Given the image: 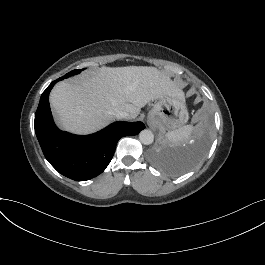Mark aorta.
I'll list each match as a JSON object with an SVG mask.
<instances>
[{
    "label": "aorta",
    "instance_id": "aorta-1",
    "mask_svg": "<svg viewBox=\"0 0 265 265\" xmlns=\"http://www.w3.org/2000/svg\"><path fill=\"white\" fill-rule=\"evenodd\" d=\"M139 139L142 144L149 145V144H152L154 140V135L152 131L148 129H144L139 133Z\"/></svg>",
    "mask_w": 265,
    "mask_h": 265
}]
</instances>
